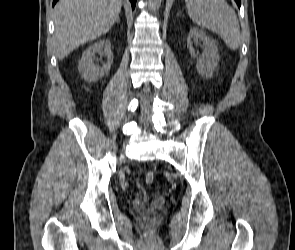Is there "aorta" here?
<instances>
[{
	"instance_id": "obj_1",
	"label": "aorta",
	"mask_w": 295,
	"mask_h": 250,
	"mask_svg": "<svg viewBox=\"0 0 295 250\" xmlns=\"http://www.w3.org/2000/svg\"><path fill=\"white\" fill-rule=\"evenodd\" d=\"M162 0H149V6L152 9V11H157L161 5Z\"/></svg>"
}]
</instances>
